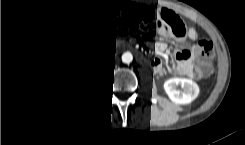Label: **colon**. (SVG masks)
I'll use <instances>...</instances> for the list:
<instances>
[{"instance_id": "5ec220e1", "label": "colon", "mask_w": 245, "mask_h": 145, "mask_svg": "<svg viewBox=\"0 0 245 145\" xmlns=\"http://www.w3.org/2000/svg\"><path fill=\"white\" fill-rule=\"evenodd\" d=\"M134 25H149L152 23V16L149 13H136L131 17L129 20ZM153 27L156 28L157 24L155 22L152 23ZM178 28V26H176ZM77 34L79 36H84L85 31L82 28H77ZM195 50L197 53H201L205 56L204 63L201 68V75L198 78L201 85H206L209 82V73L211 70V67L213 65L214 56L209 51V42L205 37H201L198 39Z\"/></svg>"}]
</instances>
